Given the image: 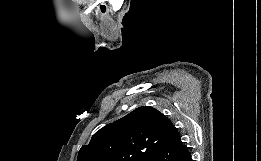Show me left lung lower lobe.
<instances>
[{
	"label": "left lung lower lobe",
	"mask_w": 261,
	"mask_h": 161,
	"mask_svg": "<svg viewBox=\"0 0 261 161\" xmlns=\"http://www.w3.org/2000/svg\"><path fill=\"white\" fill-rule=\"evenodd\" d=\"M149 161H193L191 155L177 134L166 146H160L152 155Z\"/></svg>",
	"instance_id": "obj_1"
}]
</instances>
